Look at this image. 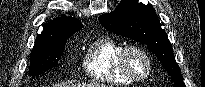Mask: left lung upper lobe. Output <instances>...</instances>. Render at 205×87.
<instances>
[{
    "label": "left lung upper lobe",
    "mask_w": 205,
    "mask_h": 87,
    "mask_svg": "<svg viewBox=\"0 0 205 87\" xmlns=\"http://www.w3.org/2000/svg\"><path fill=\"white\" fill-rule=\"evenodd\" d=\"M99 21L115 34L146 44L163 64L174 87H186L168 36L152 6L139 0H122L115 11L101 15Z\"/></svg>",
    "instance_id": "obj_1"
}]
</instances>
